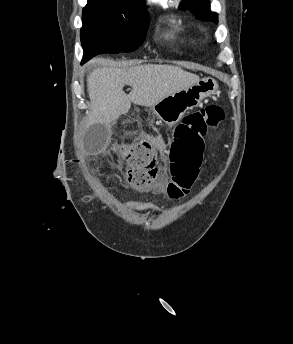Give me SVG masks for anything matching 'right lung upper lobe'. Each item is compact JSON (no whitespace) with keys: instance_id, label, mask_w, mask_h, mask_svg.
<instances>
[{"instance_id":"1","label":"right lung upper lobe","mask_w":293,"mask_h":344,"mask_svg":"<svg viewBox=\"0 0 293 344\" xmlns=\"http://www.w3.org/2000/svg\"><path fill=\"white\" fill-rule=\"evenodd\" d=\"M88 3H100L110 7L133 9L144 18L149 19L148 12L141 6L144 0H88Z\"/></svg>"}]
</instances>
